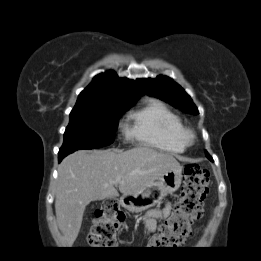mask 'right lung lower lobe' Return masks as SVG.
Segmentation results:
<instances>
[{
    "label": "right lung lower lobe",
    "instance_id": "right-lung-lower-lobe-1",
    "mask_svg": "<svg viewBox=\"0 0 261 261\" xmlns=\"http://www.w3.org/2000/svg\"><path fill=\"white\" fill-rule=\"evenodd\" d=\"M68 154H70V153H59V156H58L59 162H61V160H62L64 157H66Z\"/></svg>",
    "mask_w": 261,
    "mask_h": 261
}]
</instances>
